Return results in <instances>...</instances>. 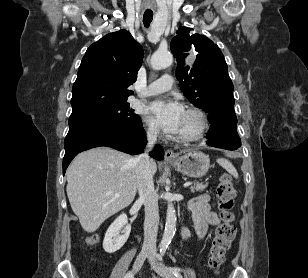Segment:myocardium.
I'll return each instance as SVG.
<instances>
[{"label":"myocardium","mask_w":308,"mask_h":278,"mask_svg":"<svg viewBox=\"0 0 308 278\" xmlns=\"http://www.w3.org/2000/svg\"><path fill=\"white\" fill-rule=\"evenodd\" d=\"M186 111L193 114L197 118L198 126L193 132L178 134L177 139L182 142L197 141L206 134L209 128L208 117L202 109L193 105L187 106Z\"/></svg>","instance_id":"obj_1"}]
</instances>
